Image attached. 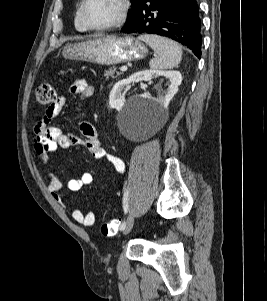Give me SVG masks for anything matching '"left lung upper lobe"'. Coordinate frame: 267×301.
Listing matches in <instances>:
<instances>
[{"instance_id":"left-lung-upper-lobe-1","label":"left lung upper lobe","mask_w":267,"mask_h":301,"mask_svg":"<svg viewBox=\"0 0 267 301\" xmlns=\"http://www.w3.org/2000/svg\"><path fill=\"white\" fill-rule=\"evenodd\" d=\"M145 0H131V9L128 11V23H131L135 20L136 16L138 15L141 7L143 6Z\"/></svg>"}]
</instances>
